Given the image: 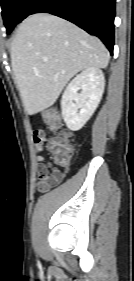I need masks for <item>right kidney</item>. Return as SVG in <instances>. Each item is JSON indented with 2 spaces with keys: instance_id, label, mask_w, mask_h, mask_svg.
I'll return each mask as SVG.
<instances>
[{
  "instance_id": "1",
  "label": "right kidney",
  "mask_w": 134,
  "mask_h": 281,
  "mask_svg": "<svg viewBox=\"0 0 134 281\" xmlns=\"http://www.w3.org/2000/svg\"><path fill=\"white\" fill-rule=\"evenodd\" d=\"M105 79L95 67L83 70L66 87L61 99L62 117L66 126L77 131L91 118L102 98ZM81 89V93L78 91Z\"/></svg>"
}]
</instances>
